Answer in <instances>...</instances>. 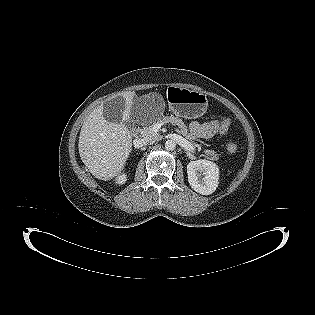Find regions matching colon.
Listing matches in <instances>:
<instances>
[{"label":"colon","instance_id":"1","mask_svg":"<svg viewBox=\"0 0 315 315\" xmlns=\"http://www.w3.org/2000/svg\"><path fill=\"white\" fill-rule=\"evenodd\" d=\"M230 128V121L227 119H222L219 125V131L221 133H227L229 131ZM227 150L231 153H235L238 151V146L235 143H228L227 144Z\"/></svg>","mask_w":315,"mask_h":315}]
</instances>
